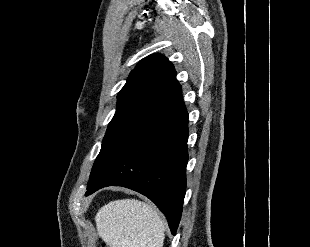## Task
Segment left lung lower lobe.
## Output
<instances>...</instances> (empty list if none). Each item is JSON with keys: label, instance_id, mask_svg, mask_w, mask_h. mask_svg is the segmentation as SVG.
Returning a JSON list of instances; mask_svg holds the SVG:
<instances>
[{"label": "left lung lower lobe", "instance_id": "1", "mask_svg": "<svg viewBox=\"0 0 310 247\" xmlns=\"http://www.w3.org/2000/svg\"><path fill=\"white\" fill-rule=\"evenodd\" d=\"M188 113L181 100L150 124L91 187L117 185L137 191L166 216L175 234L186 190Z\"/></svg>", "mask_w": 310, "mask_h": 247}]
</instances>
